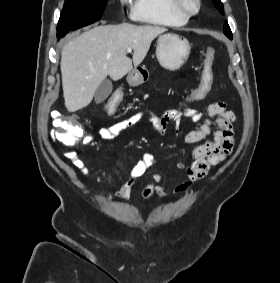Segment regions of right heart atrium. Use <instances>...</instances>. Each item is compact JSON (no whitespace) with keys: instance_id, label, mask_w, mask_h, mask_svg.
Here are the masks:
<instances>
[{"instance_id":"right-heart-atrium-1","label":"right heart atrium","mask_w":280,"mask_h":283,"mask_svg":"<svg viewBox=\"0 0 280 283\" xmlns=\"http://www.w3.org/2000/svg\"><path fill=\"white\" fill-rule=\"evenodd\" d=\"M126 2H127V0H120V3H121L122 6H125Z\"/></svg>"}]
</instances>
